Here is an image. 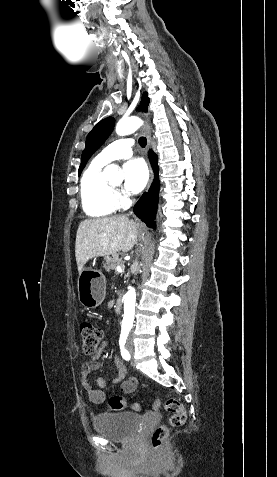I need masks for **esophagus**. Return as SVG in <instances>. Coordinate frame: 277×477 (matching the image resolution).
Here are the masks:
<instances>
[{"mask_svg":"<svg viewBox=\"0 0 277 477\" xmlns=\"http://www.w3.org/2000/svg\"><path fill=\"white\" fill-rule=\"evenodd\" d=\"M142 116L143 118L145 119V124L142 128V132L143 134L146 136L147 138V147L150 148L151 146V138H150V128H149V122H148V116L146 114H143L142 113ZM153 177H154V174H153V171L152 169H150V179H149V183H148V187L147 189L150 187L152 181H153Z\"/></svg>","mask_w":277,"mask_h":477,"instance_id":"obj_1","label":"esophagus"}]
</instances>
